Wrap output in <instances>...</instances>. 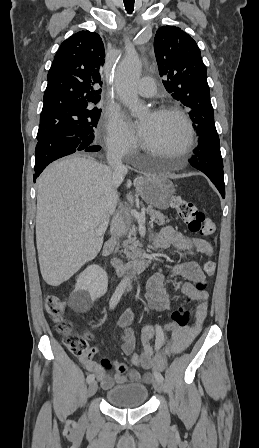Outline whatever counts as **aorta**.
<instances>
[{
  "instance_id": "obj_1",
  "label": "aorta",
  "mask_w": 259,
  "mask_h": 448,
  "mask_svg": "<svg viewBox=\"0 0 259 448\" xmlns=\"http://www.w3.org/2000/svg\"><path fill=\"white\" fill-rule=\"evenodd\" d=\"M141 74V62L135 55L126 56L119 64L115 74V88L120 100L129 108L135 117L140 116L145 107L140 103L136 85ZM124 284L131 287V280L126 276Z\"/></svg>"
}]
</instances>
